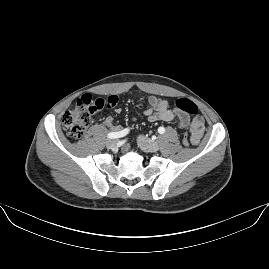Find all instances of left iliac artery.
Listing matches in <instances>:
<instances>
[{
    "label": "left iliac artery",
    "mask_w": 269,
    "mask_h": 269,
    "mask_svg": "<svg viewBox=\"0 0 269 269\" xmlns=\"http://www.w3.org/2000/svg\"><path fill=\"white\" fill-rule=\"evenodd\" d=\"M158 132H159L160 134H163V133L165 132V128H164V127H159V128H158Z\"/></svg>",
    "instance_id": "left-iliac-artery-1"
}]
</instances>
